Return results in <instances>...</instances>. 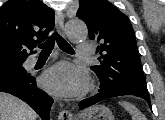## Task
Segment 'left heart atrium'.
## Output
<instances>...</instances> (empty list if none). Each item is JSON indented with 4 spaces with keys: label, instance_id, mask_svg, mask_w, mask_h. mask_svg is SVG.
<instances>
[{
    "label": "left heart atrium",
    "instance_id": "1",
    "mask_svg": "<svg viewBox=\"0 0 165 120\" xmlns=\"http://www.w3.org/2000/svg\"><path fill=\"white\" fill-rule=\"evenodd\" d=\"M41 84L57 96L73 97L85 90L88 76L83 68L70 62H60L43 74Z\"/></svg>",
    "mask_w": 165,
    "mask_h": 120
}]
</instances>
